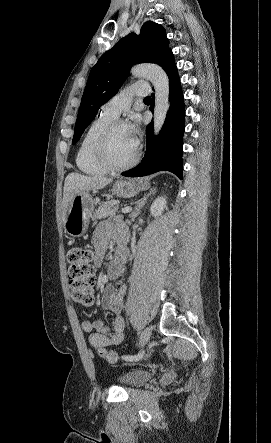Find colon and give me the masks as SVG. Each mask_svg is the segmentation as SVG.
Segmentation results:
<instances>
[{
    "mask_svg": "<svg viewBox=\"0 0 271 443\" xmlns=\"http://www.w3.org/2000/svg\"><path fill=\"white\" fill-rule=\"evenodd\" d=\"M68 277L74 301L85 308L94 305L95 268L94 252L88 247H72L67 252ZM99 354L109 363H116L119 356L112 350L102 349Z\"/></svg>",
    "mask_w": 271,
    "mask_h": 443,
    "instance_id": "obj_1",
    "label": "colon"
}]
</instances>
